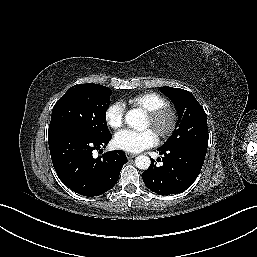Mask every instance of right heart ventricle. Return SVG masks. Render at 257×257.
I'll return each mask as SVG.
<instances>
[{"label":"right heart ventricle","mask_w":257,"mask_h":257,"mask_svg":"<svg viewBox=\"0 0 257 257\" xmlns=\"http://www.w3.org/2000/svg\"><path fill=\"white\" fill-rule=\"evenodd\" d=\"M128 103L142 109L146 113L168 104L167 99L163 95L154 91L135 95L128 99Z\"/></svg>","instance_id":"e07e8e85"}]
</instances>
